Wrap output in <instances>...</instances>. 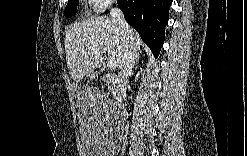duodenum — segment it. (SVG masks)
I'll return each mask as SVG.
<instances>
[{
    "label": "duodenum",
    "instance_id": "410a0bca",
    "mask_svg": "<svg viewBox=\"0 0 247 156\" xmlns=\"http://www.w3.org/2000/svg\"><path fill=\"white\" fill-rule=\"evenodd\" d=\"M110 80L112 81L113 85L115 86V91L117 93L118 99H117V109L122 104V93H123V86L120 82V79H118L116 76L108 75Z\"/></svg>",
    "mask_w": 247,
    "mask_h": 156
}]
</instances>
